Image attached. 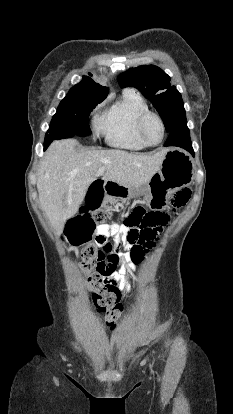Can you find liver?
Masks as SVG:
<instances>
[{"label":"liver","instance_id":"obj_1","mask_svg":"<svg viewBox=\"0 0 233 414\" xmlns=\"http://www.w3.org/2000/svg\"><path fill=\"white\" fill-rule=\"evenodd\" d=\"M78 144L75 139L54 141L37 173L41 208L59 233L66 221L78 212L90 184L97 177L127 188H140L159 171L168 151L162 149L153 154L119 149L76 151ZM99 169L103 170L101 175Z\"/></svg>","mask_w":233,"mask_h":414}]
</instances>
